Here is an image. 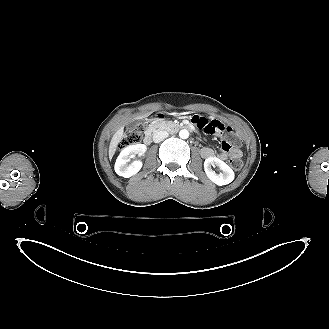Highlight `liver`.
I'll use <instances>...</instances> for the list:
<instances>
[{
    "label": "liver",
    "mask_w": 329,
    "mask_h": 329,
    "mask_svg": "<svg viewBox=\"0 0 329 329\" xmlns=\"http://www.w3.org/2000/svg\"><path fill=\"white\" fill-rule=\"evenodd\" d=\"M152 112L153 111H150L146 114L139 115V116L136 117V119H144V118L148 117L149 115H151ZM123 133H124V128L121 127L113 135V137L111 139V142H110V145H109V158L110 159H112V157L114 156V154L116 152L117 145L123 138Z\"/></svg>",
    "instance_id": "1"
}]
</instances>
